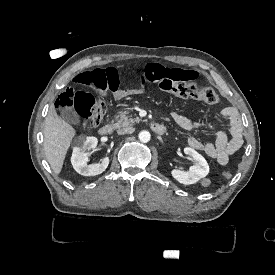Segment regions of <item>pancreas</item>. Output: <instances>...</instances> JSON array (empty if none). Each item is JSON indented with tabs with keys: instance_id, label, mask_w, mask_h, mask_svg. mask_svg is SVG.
I'll use <instances>...</instances> for the list:
<instances>
[{
	"instance_id": "obj_1",
	"label": "pancreas",
	"mask_w": 275,
	"mask_h": 275,
	"mask_svg": "<svg viewBox=\"0 0 275 275\" xmlns=\"http://www.w3.org/2000/svg\"><path fill=\"white\" fill-rule=\"evenodd\" d=\"M141 122V118H139L136 114L132 115L129 111H120V116H116L111 124L114 128L119 129L121 127H131L134 124H139Z\"/></svg>"
}]
</instances>
